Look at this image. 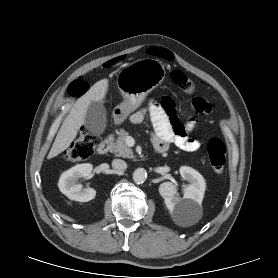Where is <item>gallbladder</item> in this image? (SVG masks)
Returning <instances> with one entry per match:
<instances>
[{"label": "gallbladder", "instance_id": "obj_1", "mask_svg": "<svg viewBox=\"0 0 278 278\" xmlns=\"http://www.w3.org/2000/svg\"><path fill=\"white\" fill-rule=\"evenodd\" d=\"M106 111L102 104L92 101L87 110L84 127L94 136H100L106 129Z\"/></svg>", "mask_w": 278, "mask_h": 278}]
</instances>
